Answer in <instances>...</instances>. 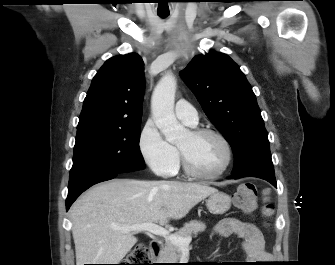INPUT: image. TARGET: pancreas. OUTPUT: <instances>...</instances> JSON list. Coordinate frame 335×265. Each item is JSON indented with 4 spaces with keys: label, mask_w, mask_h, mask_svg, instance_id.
Returning a JSON list of instances; mask_svg holds the SVG:
<instances>
[{
    "label": "pancreas",
    "mask_w": 335,
    "mask_h": 265,
    "mask_svg": "<svg viewBox=\"0 0 335 265\" xmlns=\"http://www.w3.org/2000/svg\"><path fill=\"white\" fill-rule=\"evenodd\" d=\"M206 229V225L197 220H191L188 223H185L184 226L179 229L175 235L181 236L184 238L192 236H197L198 233L203 232ZM181 257V251L180 247L177 245H174L170 240H165V247L160 255V261L163 263H178V260H180Z\"/></svg>",
    "instance_id": "cf45deb5"
}]
</instances>
